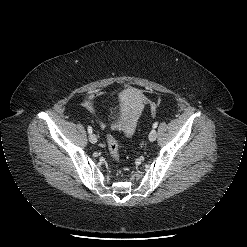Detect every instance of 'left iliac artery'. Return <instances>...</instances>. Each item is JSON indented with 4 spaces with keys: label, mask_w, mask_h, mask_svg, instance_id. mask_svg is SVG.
Wrapping results in <instances>:
<instances>
[{
    "label": "left iliac artery",
    "mask_w": 247,
    "mask_h": 247,
    "mask_svg": "<svg viewBox=\"0 0 247 247\" xmlns=\"http://www.w3.org/2000/svg\"><path fill=\"white\" fill-rule=\"evenodd\" d=\"M158 126V122H154L153 128H156Z\"/></svg>",
    "instance_id": "left-iliac-artery-1"
}]
</instances>
